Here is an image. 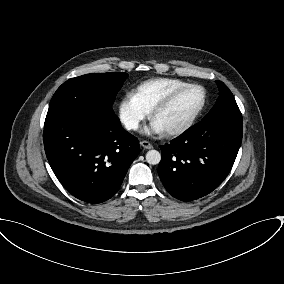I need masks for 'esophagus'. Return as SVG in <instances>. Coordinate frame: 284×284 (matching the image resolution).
<instances>
[{"label":"esophagus","mask_w":284,"mask_h":284,"mask_svg":"<svg viewBox=\"0 0 284 284\" xmlns=\"http://www.w3.org/2000/svg\"><path fill=\"white\" fill-rule=\"evenodd\" d=\"M140 144L145 149L153 148V145L149 141H146V140L142 141Z\"/></svg>","instance_id":"1"}]
</instances>
